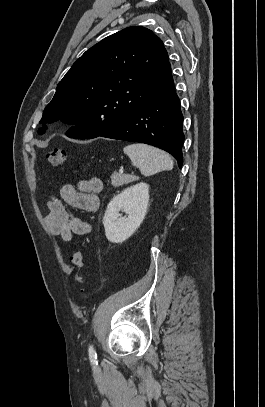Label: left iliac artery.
Returning a JSON list of instances; mask_svg holds the SVG:
<instances>
[{
    "mask_svg": "<svg viewBox=\"0 0 265 407\" xmlns=\"http://www.w3.org/2000/svg\"><path fill=\"white\" fill-rule=\"evenodd\" d=\"M89 358L91 361L95 362L97 359V354L92 346L89 347Z\"/></svg>",
    "mask_w": 265,
    "mask_h": 407,
    "instance_id": "left-iliac-artery-1",
    "label": "left iliac artery"
}]
</instances>
